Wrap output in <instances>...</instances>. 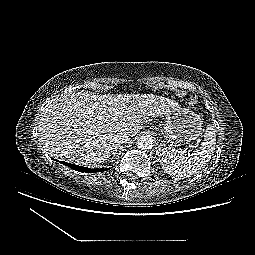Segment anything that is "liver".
<instances>
[{
  "mask_svg": "<svg viewBox=\"0 0 255 255\" xmlns=\"http://www.w3.org/2000/svg\"><path fill=\"white\" fill-rule=\"evenodd\" d=\"M172 100L154 94H104L79 91L56 97L43 111L39 142L46 152L68 162L97 166L114 148L117 133L135 136L143 121L165 115ZM114 109L119 117L114 120Z\"/></svg>",
  "mask_w": 255,
  "mask_h": 255,
  "instance_id": "obj_1",
  "label": "liver"
}]
</instances>
